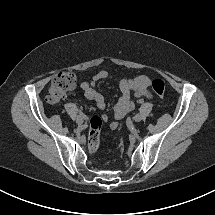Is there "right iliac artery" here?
<instances>
[{
    "mask_svg": "<svg viewBox=\"0 0 215 215\" xmlns=\"http://www.w3.org/2000/svg\"><path fill=\"white\" fill-rule=\"evenodd\" d=\"M79 116L82 117L83 119H87V116L83 114L82 112H79Z\"/></svg>",
    "mask_w": 215,
    "mask_h": 215,
    "instance_id": "obj_1",
    "label": "right iliac artery"
}]
</instances>
